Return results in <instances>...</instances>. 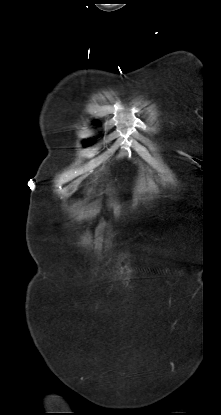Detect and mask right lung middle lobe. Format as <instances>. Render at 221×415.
<instances>
[{
  "label": "right lung middle lobe",
  "instance_id": "dd1d6c3e",
  "mask_svg": "<svg viewBox=\"0 0 221 415\" xmlns=\"http://www.w3.org/2000/svg\"><path fill=\"white\" fill-rule=\"evenodd\" d=\"M84 145L88 146L91 144V142H89L88 140L83 141Z\"/></svg>",
  "mask_w": 221,
  "mask_h": 415
}]
</instances>
